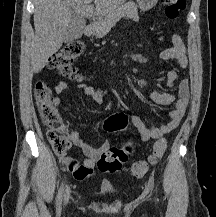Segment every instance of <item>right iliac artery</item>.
I'll return each mask as SVG.
<instances>
[{
  "label": "right iliac artery",
  "instance_id": "1",
  "mask_svg": "<svg viewBox=\"0 0 216 217\" xmlns=\"http://www.w3.org/2000/svg\"><path fill=\"white\" fill-rule=\"evenodd\" d=\"M63 191H64V184L62 183V185H61V187L59 189L58 195H57V199H56V204H57L58 209L61 208Z\"/></svg>",
  "mask_w": 216,
  "mask_h": 217
}]
</instances>
